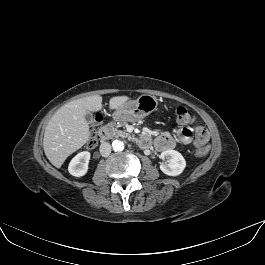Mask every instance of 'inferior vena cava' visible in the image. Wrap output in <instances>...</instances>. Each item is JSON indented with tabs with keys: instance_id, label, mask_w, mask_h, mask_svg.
<instances>
[{
	"instance_id": "inferior-vena-cava-1",
	"label": "inferior vena cava",
	"mask_w": 265,
	"mask_h": 265,
	"mask_svg": "<svg viewBox=\"0 0 265 265\" xmlns=\"http://www.w3.org/2000/svg\"><path fill=\"white\" fill-rule=\"evenodd\" d=\"M99 150L103 157H108L111 153V145L108 142H103L101 143Z\"/></svg>"
}]
</instances>
